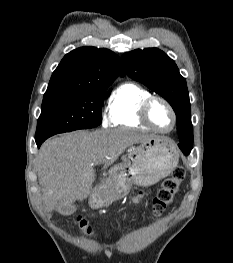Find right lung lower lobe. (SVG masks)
Wrapping results in <instances>:
<instances>
[{
	"label": "right lung lower lobe",
	"mask_w": 233,
	"mask_h": 263,
	"mask_svg": "<svg viewBox=\"0 0 233 263\" xmlns=\"http://www.w3.org/2000/svg\"><path fill=\"white\" fill-rule=\"evenodd\" d=\"M43 141H44V140H38V141H36L37 146L40 147L41 144L43 143Z\"/></svg>",
	"instance_id": "right-lung-lower-lobe-1"
}]
</instances>
